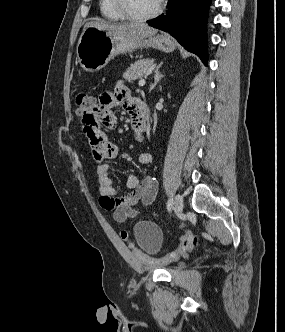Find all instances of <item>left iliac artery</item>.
<instances>
[{
	"instance_id": "1",
	"label": "left iliac artery",
	"mask_w": 285,
	"mask_h": 332,
	"mask_svg": "<svg viewBox=\"0 0 285 332\" xmlns=\"http://www.w3.org/2000/svg\"><path fill=\"white\" fill-rule=\"evenodd\" d=\"M172 207H173V199L170 198L167 203L168 211H171Z\"/></svg>"
}]
</instances>
